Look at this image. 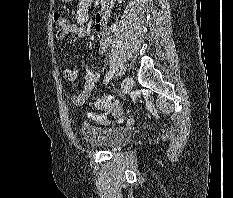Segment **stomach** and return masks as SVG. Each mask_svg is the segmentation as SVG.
I'll use <instances>...</instances> for the list:
<instances>
[{"label":"stomach","instance_id":"stomach-1","mask_svg":"<svg viewBox=\"0 0 233 198\" xmlns=\"http://www.w3.org/2000/svg\"><path fill=\"white\" fill-rule=\"evenodd\" d=\"M60 1H62V2H69V1H71V0H60Z\"/></svg>","mask_w":233,"mask_h":198}]
</instances>
